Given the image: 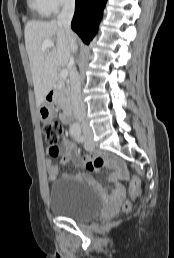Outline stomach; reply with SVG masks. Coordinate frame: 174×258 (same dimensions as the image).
Listing matches in <instances>:
<instances>
[{
  "label": "stomach",
  "instance_id": "0dacf381",
  "mask_svg": "<svg viewBox=\"0 0 174 258\" xmlns=\"http://www.w3.org/2000/svg\"><path fill=\"white\" fill-rule=\"evenodd\" d=\"M54 103L45 98L39 107V116L42 121H49L54 117Z\"/></svg>",
  "mask_w": 174,
  "mask_h": 258
}]
</instances>
